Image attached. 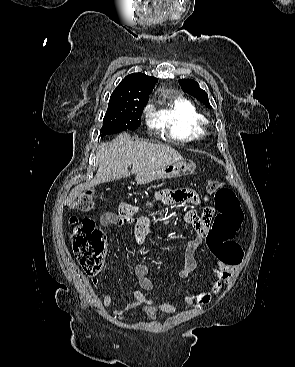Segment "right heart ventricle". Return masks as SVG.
Listing matches in <instances>:
<instances>
[{"mask_svg":"<svg viewBox=\"0 0 295 367\" xmlns=\"http://www.w3.org/2000/svg\"><path fill=\"white\" fill-rule=\"evenodd\" d=\"M154 122L166 136L177 141L200 140L207 135V118L186 99H178L157 113Z\"/></svg>","mask_w":295,"mask_h":367,"instance_id":"obj_1","label":"right heart ventricle"}]
</instances>
